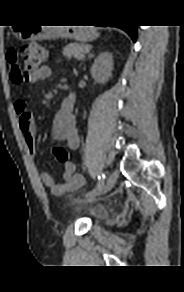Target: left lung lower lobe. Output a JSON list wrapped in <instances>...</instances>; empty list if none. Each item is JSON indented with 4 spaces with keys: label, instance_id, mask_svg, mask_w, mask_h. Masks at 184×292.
I'll use <instances>...</instances> for the list:
<instances>
[{
    "label": "left lung lower lobe",
    "instance_id": "0a47b994",
    "mask_svg": "<svg viewBox=\"0 0 184 292\" xmlns=\"http://www.w3.org/2000/svg\"><path fill=\"white\" fill-rule=\"evenodd\" d=\"M119 27L126 31L134 42L136 41L137 26H119Z\"/></svg>",
    "mask_w": 184,
    "mask_h": 292
}]
</instances>
